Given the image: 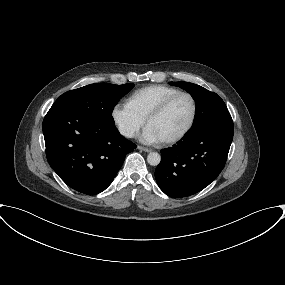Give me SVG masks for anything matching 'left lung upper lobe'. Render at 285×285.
<instances>
[{
  "mask_svg": "<svg viewBox=\"0 0 285 285\" xmlns=\"http://www.w3.org/2000/svg\"><path fill=\"white\" fill-rule=\"evenodd\" d=\"M191 94L196 103V114L190 131H196L213 124H233L224 101L214 92L188 82H170Z\"/></svg>",
  "mask_w": 285,
  "mask_h": 285,
  "instance_id": "1",
  "label": "left lung upper lobe"
}]
</instances>
